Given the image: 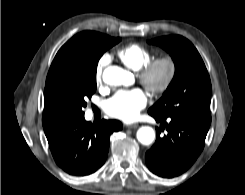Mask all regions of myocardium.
I'll list each match as a JSON object with an SVG mask.
<instances>
[{
    "label": "myocardium",
    "instance_id": "myocardium-1",
    "mask_svg": "<svg viewBox=\"0 0 245 195\" xmlns=\"http://www.w3.org/2000/svg\"><path fill=\"white\" fill-rule=\"evenodd\" d=\"M164 67L165 73L160 81H155L154 76L158 68ZM177 74V63L173 56L162 55L151 59L138 71L140 82L148 91L159 95L165 93L173 84Z\"/></svg>",
    "mask_w": 245,
    "mask_h": 195
}]
</instances>
